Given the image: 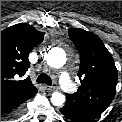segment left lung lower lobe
<instances>
[{
  "label": "left lung lower lobe",
  "mask_w": 122,
  "mask_h": 122,
  "mask_svg": "<svg viewBox=\"0 0 122 122\" xmlns=\"http://www.w3.org/2000/svg\"><path fill=\"white\" fill-rule=\"evenodd\" d=\"M60 111L65 117L76 122H89L101 114L100 111L85 104L78 103L68 96L65 105Z\"/></svg>",
  "instance_id": "1"
}]
</instances>
